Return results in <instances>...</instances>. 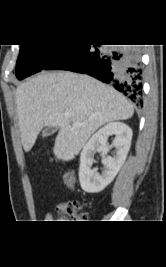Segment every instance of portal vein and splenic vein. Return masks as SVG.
Segmentation results:
<instances>
[{
    "label": "portal vein and splenic vein",
    "instance_id": "1",
    "mask_svg": "<svg viewBox=\"0 0 166 267\" xmlns=\"http://www.w3.org/2000/svg\"><path fill=\"white\" fill-rule=\"evenodd\" d=\"M65 117H70V114L65 113ZM73 126H81V124L78 122H73Z\"/></svg>",
    "mask_w": 166,
    "mask_h": 267
}]
</instances>
